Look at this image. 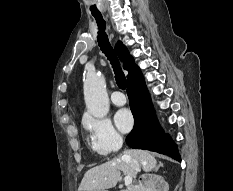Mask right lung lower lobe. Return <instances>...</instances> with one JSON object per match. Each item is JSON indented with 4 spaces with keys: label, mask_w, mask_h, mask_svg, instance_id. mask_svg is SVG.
<instances>
[{
    "label": "right lung lower lobe",
    "mask_w": 233,
    "mask_h": 191,
    "mask_svg": "<svg viewBox=\"0 0 233 191\" xmlns=\"http://www.w3.org/2000/svg\"><path fill=\"white\" fill-rule=\"evenodd\" d=\"M127 94L135 118L133 130L126 137L131 148L147 149L166 154L181 161L177 145L161 129L147 91L142 73L138 66L127 78Z\"/></svg>",
    "instance_id": "98d812e1"
}]
</instances>
